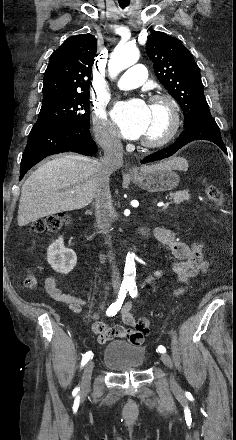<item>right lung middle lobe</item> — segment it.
Listing matches in <instances>:
<instances>
[{
	"label": "right lung middle lobe",
	"instance_id": "right-lung-middle-lobe-1",
	"mask_svg": "<svg viewBox=\"0 0 236 440\" xmlns=\"http://www.w3.org/2000/svg\"><path fill=\"white\" fill-rule=\"evenodd\" d=\"M89 94L42 104L35 124L54 123L89 128Z\"/></svg>",
	"mask_w": 236,
	"mask_h": 440
}]
</instances>
